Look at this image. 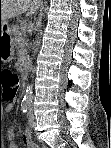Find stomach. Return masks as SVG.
<instances>
[{"mask_svg":"<svg viewBox=\"0 0 111 148\" xmlns=\"http://www.w3.org/2000/svg\"><path fill=\"white\" fill-rule=\"evenodd\" d=\"M6 24V23H5ZM2 25L1 39H0V62H9L13 59L14 55V44L13 41L5 37L3 39V34H8L10 31L9 27ZM5 27V30H4ZM1 31V30H0Z\"/></svg>","mask_w":111,"mask_h":148,"instance_id":"0dacf381","label":"stomach"}]
</instances>
